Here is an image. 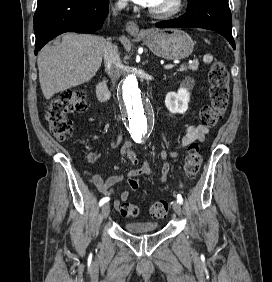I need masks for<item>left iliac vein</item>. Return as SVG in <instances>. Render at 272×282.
Instances as JSON below:
<instances>
[{
    "label": "left iliac vein",
    "mask_w": 272,
    "mask_h": 282,
    "mask_svg": "<svg viewBox=\"0 0 272 282\" xmlns=\"http://www.w3.org/2000/svg\"><path fill=\"white\" fill-rule=\"evenodd\" d=\"M173 210L175 211L176 214L180 215L181 214V204L178 203L177 201L173 202Z\"/></svg>",
    "instance_id": "1"
}]
</instances>
